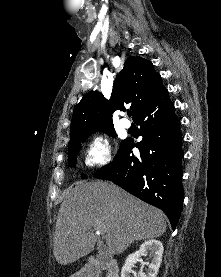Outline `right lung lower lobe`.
<instances>
[{
	"mask_svg": "<svg viewBox=\"0 0 221 277\" xmlns=\"http://www.w3.org/2000/svg\"><path fill=\"white\" fill-rule=\"evenodd\" d=\"M134 121L140 126L142 141L137 144L130 138L122 141L112 163L98 170L95 177L111 180L160 208L175 230L183 204V151L180 123L168 91L143 108ZM134 146L140 155L131 154Z\"/></svg>",
	"mask_w": 221,
	"mask_h": 277,
	"instance_id": "1",
	"label": "right lung lower lobe"
}]
</instances>
